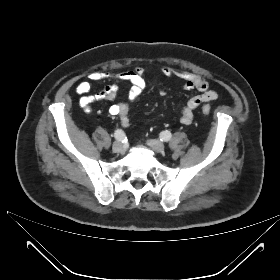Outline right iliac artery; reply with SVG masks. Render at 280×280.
Masks as SVG:
<instances>
[{
  "instance_id": "82829eb1",
  "label": "right iliac artery",
  "mask_w": 280,
  "mask_h": 280,
  "mask_svg": "<svg viewBox=\"0 0 280 280\" xmlns=\"http://www.w3.org/2000/svg\"><path fill=\"white\" fill-rule=\"evenodd\" d=\"M114 136H115L116 140L121 141V142H125L127 140L126 134L121 129H117L114 133Z\"/></svg>"
}]
</instances>
